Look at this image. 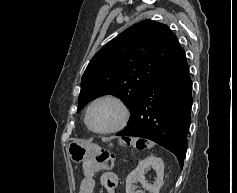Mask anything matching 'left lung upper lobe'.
<instances>
[{
    "mask_svg": "<svg viewBox=\"0 0 237 193\" xmlns=\"http://www.w3.org/2000/svg\"><path fill=\"white\" fill-rule=\"evenodd\" d=\"M167 25L144 20L129 27L99 50L81 81L80 111L89 101L114 94L136 114L155 77L179 48Z\"/></svg>",
    "mask_w": 237,
    "mask_h": 193,
    "instance_id": "left-lung-upper-lobe-1",
    "label": "left lung upper lobe"
}]
</instances>
